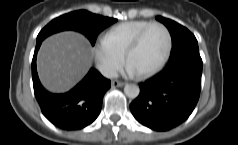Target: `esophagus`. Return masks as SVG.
Segmentation results:
<instances>
[{"instance_id": "1", "label": "esophagus", "mask_w": 238, "mask_h": 145, "mask_svg": "<svg viewBox=\"0 0 238 145\" xmlns=\"http://www.w3.org/2000/svg\"><path fill=\"white\" fill-rule=\"evenodd\" d=\"M111 85H112L113 87H122V86L125 85V83H124V82H121V81L113 80V81L111 82Z\"/></svg>"}]
</instances>
